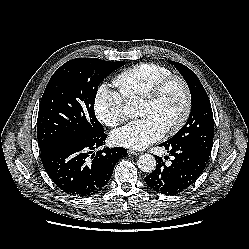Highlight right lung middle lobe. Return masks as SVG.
Instances as JSON below:
<instances>
[{
  "label": "right lung middle lobe",
  "instance_id": "obj_1",
  "mask_svg": "<svg viewBox=\"0 0 249 249\" xmlns=\"http://www.w3.org/2000/svg\"><path fill=\"white\" fill-rule=\"evenodd\" d=\"M124 64V61L76 58L52 75L39 105L37 139L40 150L64 140L94 138L104 133L94 112L98 86Z\"/></svg>",
  "mask_w": 249,
  "mask_h": 249
}]
</instances>
